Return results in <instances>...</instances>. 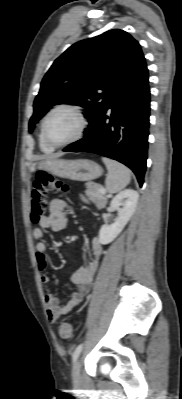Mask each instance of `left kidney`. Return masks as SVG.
<instances>
[{
    "mask_svg": "<svg viewBox=\"0 0 182 399\" xmlns=\"http://www.w3.org/2000/svg\"><path fill=\"white\" fill-rule=\"evenodd\" d=\"M139 194L133 189H126L116 195L110 209L118 212L117 218L110 225H102L99 231V242L103 245L111 243L123 230L135 212Z\"/></svg>",
    "mask_w": 182,
    "mask_h": 399,
    "instance_id": "5707ae66",
    "label": "left kidney"
}]
</instances>
